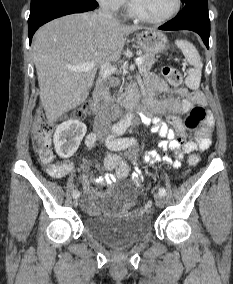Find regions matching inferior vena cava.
Instances as JSON below:
<instances>
[{"label":"inferior vena cava","mask_w":233,"mask_h":284,"mask_svg":"<svg viewBox=\"0 0 233 284\" xmlns=\"http://www.w3.org/2000/svg\"><path fill=\"white\" fill-rule=\"evenodd\" d=\"M98 15L110 22L118 23L107 5H101L98 10ZM112 69L109 63H104L101 66L100 75L106 81L111 75ZM110 94L107 88L104 91L103 103L100 106L94 120V128L98 132H107L111 128V119L109 112Z\"/></svg>","instance_id":"inferior-vena-cava-1"}]
</instances>
